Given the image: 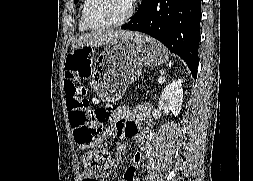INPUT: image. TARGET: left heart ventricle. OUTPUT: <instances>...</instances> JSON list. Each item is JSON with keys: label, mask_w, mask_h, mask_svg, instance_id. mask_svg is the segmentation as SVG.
Segmentation results:
<instances>
[{"label": "left heart ventricle", "mask_w": 253, "mask_h": 181, "mask_svg": "<svg viewBox=\"0 0 253 181\" xmlns=\"http://www.w3.org/2000/svg\"><path fill=\"white\" fill-rule=\"evenodd\" d=\"M131 0H94L90 17L96 24H108L121 20L129 11Z\"/></svg>", "instance_id": "left-heart-ventricle-1"}]
</instances>
